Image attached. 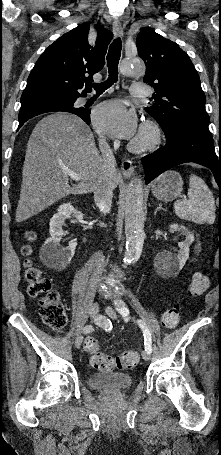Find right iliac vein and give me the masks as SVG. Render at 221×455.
<instances>
[{
	"instance_id": "1",
	"label": "right iliac vein",
	"mask_w": 221,
	"mask_h": 455,
	"mask_svg": "<svg viewBox=\"0 0 221 455\" xmlns=\"http://www.w3.org/2000/svg\"><path fill=\"white\" fill-rule=\"evenodd\" d=\"M98 312H99V304L98 303H94L92 308H91V314L93 317H96L98 315ZM82 341H83V336H78L76 338V341H75V346L77 348H79L82 344Z\"/></svg>"
}]
</instances>
